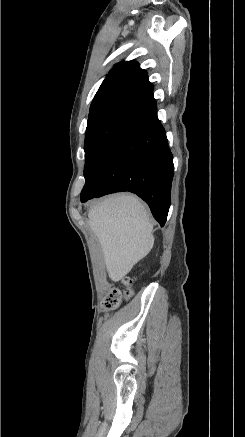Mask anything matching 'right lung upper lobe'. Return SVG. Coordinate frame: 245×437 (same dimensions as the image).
<instances>
[{
	"mask_svg": "<svg viewBox=\"0 0 245 437\" xmlns=\"http://www.w3.org/2000/svg\"><path fill=\"white\" fill-rule=\"evenodd\" d=\"M107 104H125L143 112L156 108L153 85L138 62L115 65L95 94L90 110Z\"/></svg>",
	"mask_w": 245,
	"mask_h": 437,
	"instance_id": "cb5924a9",
	"label": "right lung upper lobe"
}]
</instances>
